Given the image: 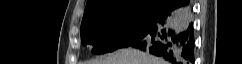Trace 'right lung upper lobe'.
Returning <instances> with one entry per match:
<instances>
[{
    "mask_svg": "<svg viewBox=\"0 0 242 64\" xmlns=\"http://www.w3.org/2000/svg\"><path fill=\"white\" fill-rule=\"evenodd\" d=\"M168 0H88L82 23L105 14L137 8L161 11ZM81 23V24H82Z\"/></svg>",
    "mask_w": 242,
    "mask_h": 64,
    "instance_id": "obj_1",
    "label": "right lung upper lobe"
}]
</instances>
